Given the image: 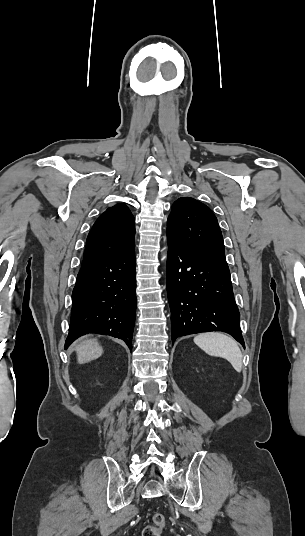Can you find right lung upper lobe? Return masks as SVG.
I'll use <instances>...</instances> for the list:
<instances>
[{
	"mask_svg": "<svg viewBox=\"0 0 305 536\" xmlns=\"http://www.w3.org/2000/svg\"><path fill=\"white\" fill-rule=\"evenodd\" d=\"M135 221L124 204L109 207L94 223L84 251L83 262L90 263L129 252L135 247Z\"/></svg>",
	"mask_w": 305,
	"mask_h": 536,
	"instance_id": "1",
	"label": "right lung upper lobe"
}]
</instances>
